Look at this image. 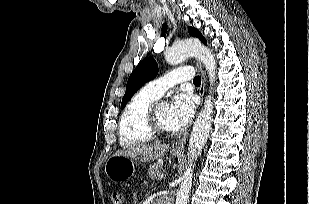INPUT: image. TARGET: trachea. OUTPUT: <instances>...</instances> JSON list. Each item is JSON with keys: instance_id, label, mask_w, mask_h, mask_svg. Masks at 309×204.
<instances>
[{"instance_id": "obj_1", "label": "trachea", "mask_w": 309, "mask_h": 204, "mask_svg": "<svg viewBox=\"0 0 309 204\" xmlns=\"http://www.w3.org/2000/svg\"><path fill=\"white\" fill-rule=\"evenodd\" d=\"M193 83L194 84H201V77L200 76H196L194 79H193Z\"/></svg>"}]
</instances>
